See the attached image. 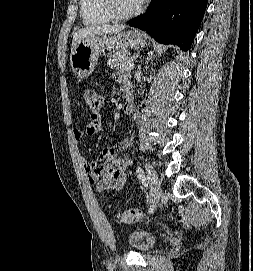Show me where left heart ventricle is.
Masks as SVG:
<instances>
[{"label":"left heart ventricle","instance_id":"b2bd125f","mask_svg":"<svg viewBox=\"0 0 253 271\" xmlns=\"http://www.w3.org/2000/svg\"><path fill=\"white\" fill-rule=\"evenodd\" d=\"M139 0H119V6L124 12L131 11L140 5Z\"/></svg>","mask_w":253,"mask_h":271}]
</instances>
